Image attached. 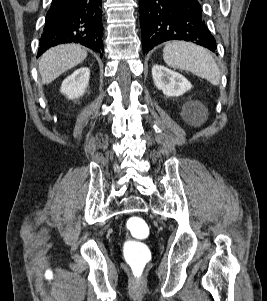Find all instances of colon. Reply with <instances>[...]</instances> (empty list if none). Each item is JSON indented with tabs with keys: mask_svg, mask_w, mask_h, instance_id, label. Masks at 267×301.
<instances>
[{
	"mask_svg": "<svg viewBox=\"0 0 267 301\" xmlns=\"http://www.w3.org/2000/svg\"><path fill=\"white\" fill-rule=\"evenodd\" d=\"M127 230L131 239L124 246L125 259L138 280L143 276L151 257L148 246L141 241L149 235V227L143 218L132 216L127 221Z\"/></svg>",
	"mask_w": 267,
	"mask_h": 301,
	"instance_id": "colon-1",
	"label": "colon"
}]
</instances>
